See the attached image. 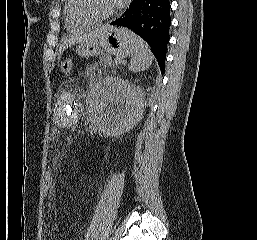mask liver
I'll list each match as a JSON object with an SVG mask.
<instances>
[{
	"mask_svg": "<svg viewBox=\"0 0 257 240\" xmlns=\"http://www.w3.org/2000/svg\"><path fill=\"white\" fill-rule=\"evenodd\" d=\"M105 26L106 25L99 26L94 31H90L89 33L71 35L69 37H66L60 44L59 55H61L62 52L68 47H71L75 44L90 42L96 39L103 33V31L105 30Z\"/></svg>",
	"mask_w": 257,
	"mask_h": 240,
	"instance_id": "obj_1",
	"label": "liver"
}]
</instances>
